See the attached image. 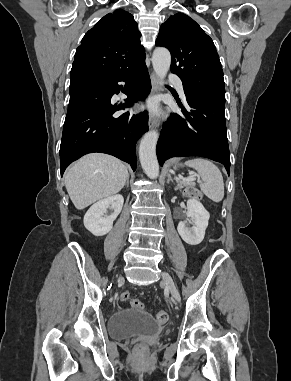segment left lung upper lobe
Returning a JSON list of instances; mask_svg holds the SVG:
<instances>
[{
    "mask_svg": "<svg viewBox=\"0 0 291 381\" xmlns=\"http://www.w3.org/2000/svg\"><path fill=\"white\" fill-rule=\"evenodd\" d=\"M171 52V72L178 75L186 91L222 95L224 78L212 39L189 16L176 13L161 25L156 40Z\"/></svg>",
    "mask_w": 291,
    "mask_h": 381,
    "instance_id": "1",
    "label": "left lung upper lobe"
}]
</instances>
